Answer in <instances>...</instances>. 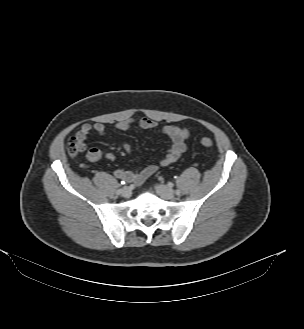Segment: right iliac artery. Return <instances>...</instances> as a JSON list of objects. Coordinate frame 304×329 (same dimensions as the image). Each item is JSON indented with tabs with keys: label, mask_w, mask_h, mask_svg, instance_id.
<instances>
[{
	"label": "right iliac artery",
	"mask_w": 304,
	"mask_h": 329,
	"mask_svg": "<svg viewBox=\"0 0 304 329\" xmlns=\"http://www.w3.org/2000/svg\"><path fill=\"white\" fill-rule=\"evenodd\" d=\"M121 191H122V189H118L116 193L121 194Z\"/></svg>",
	"instance_id": "right-iliac-artery-1"
}]
</instances>
